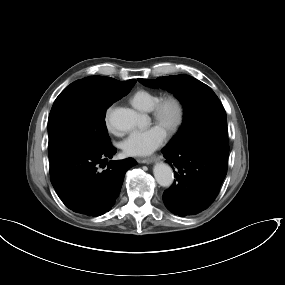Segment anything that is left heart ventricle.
<instances>
[{"label": "left heart ventricle", "instance_id": "obj_1", "mask_svg": "<svg viewBox=\"0 0 285 285\" xmlns=\"http://www.w3.org/2000/svg\"><path fill=\"white\" fill-rule=\"evenodd\" d=\"M175 115H176V110L174 106L169 105L164 113V121L160 125L165 129V126L174 120Z\"/></svg>", "mask_w": 285, "mask_h": 285}]
</instances>
